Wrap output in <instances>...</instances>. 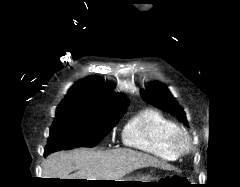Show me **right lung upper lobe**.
Masks as SVG:
<instances>
[{
  "label": "right lung upper lobe",
  "instance_id": "right-lung-upper-lobe-1",
  "mask_svg": "<svg viewBox=\"0 0 240 187\" xmlns=\"http://www.w3.org/2000/svg\"><path fill=\"white\" fill-rule=\"evenodd\" d=\"M129 101L122 94H113L112 86L100 78H86L77 82L58 108L90 112H114L126 109Z\"/></svg>",
  "mask_w": 240,
  "mask_h": 187
}]
</instances>
